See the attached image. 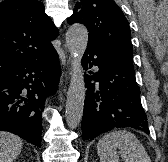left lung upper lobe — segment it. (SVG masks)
Returning a JSON list of instances; mask_svg holds the SVG:
<instances>
[{
    "mask_svg": "<svg viewBox=\"0 0 168 162\" xmlns=\"http://www.w3.org/2000/svg\"><path fill=\"white\" fill-rule=\"evenodd\" d=\"M67 22L84 24L89 31V44L96 45L133 66L128 21L114 1L79 0Z\"/></svg>",
    "mask_w": 168,
    "mask_h": 162,
    "instance_id": "5c2ea615",
    "label": "left lung upper lobe"
}]
</instances>
